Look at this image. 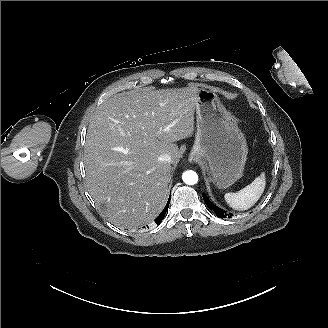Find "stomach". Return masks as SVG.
Segmentation results:
<instances>
[{
    "mask_svg": "<svg viewBox=\"0 0 328 328\" xmlns=\"http://www.w3.org/2000/svg\"><path fill=\"white\" fill-rule=\"evenodd\" d=\"M194 110L196 136L191 156L203 162L217 188L226 189L243 176L248 153L244 134L212 87H198Z\"/></svg>",
    "mask_w": 328,
    "mask_h": 328,
    "instance_id": "stomach-1",
    "label": "stomach"
}]
</instances>
